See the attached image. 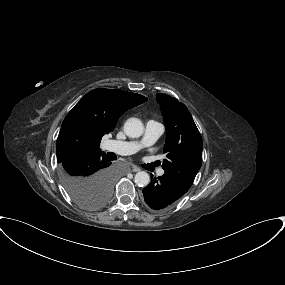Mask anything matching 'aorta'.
Wrapping results in <instances>:
<instances>
[{"label": "aorta", "instance_id": "762f6f07", "mask_svg": "<svg viewBox=\"0 0 285 285\" xmlns=\"http://www.w3.org/2000/svg\"><path fill=\"white\" fill-rule=\"evenodd\" d=\"M124 132L130 138H138L144 132L143 123L138 118H129L124 124ZM135 183L140 187H145L150 182V176L145 171L137 172L134 177Z\"/></svg>", "mask_w": 285, "mask_h": 285}]
</instances>
